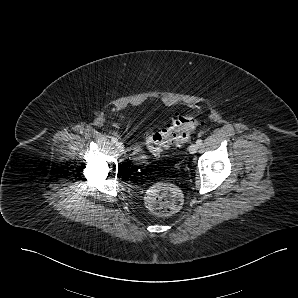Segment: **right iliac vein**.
Here are the masks:
<instances>
[{"mask_svg": "<svg viewBox=\"0 0 298 298\" xmlns=\"http://www.w3.org/2000/svg\"><path fill=\"white\" fill-rule=\"evenodd\" d=\"M116 146H117V149H118L119 152H123L124 149H125L123 143H121V142H118V143L116 144Z\"/></svg>", "mask_w": 298, "mask_h": 298, "instance_id": "obj_1", "label": "right iliac vein"}]
</instances>
